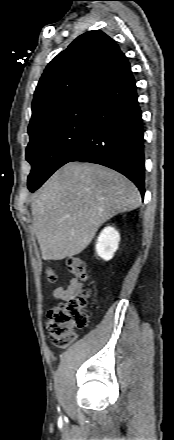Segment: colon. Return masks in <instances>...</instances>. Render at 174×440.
<instances>
[{
    "label": "colon",
    "instance_id": "5ec220e1",
    "mask_svg": "<svg viewBox=\"0 0 174 440\" xmlns=\"http://www.w3.org/2000/svg\"><path fill=\"white\" fill-rule=\"evenodd\" d=\"M69 272L76 278L87 281L90 278L85 262L78 256L68 257L66 260ZM47 280L51 283L57 280L53 270L46 272ZM89 291H82L79 295L66 302L53 305L48 311L45 324L50 342L57 348H66L74 340V331L85 328L88 317L84 311Z\"/></svg>",
    "mask_w": 174,
    "mask_h": 440
}]
</instances>
